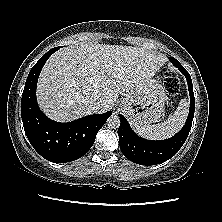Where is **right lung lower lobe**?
Segmentation results:
<instances>
[{"instance_id":"98d812e1","label":"right lung lower lobe","mask_w":222,"mask_h":222,"mask_svg":"<svg viewBox=\"0 0 222 222\" xmlns=\"http://www.w3.org/2000/svg\"><path fill=\"white\" fill-rule=\"evenodd\" d=\"M58 49H50L30 70L21 99V116L33 148L45 159L63 163L79 159L89 151L96 134L112 112L60 123L49 119L40 110L36 99L37 80L48 58Z\"/></svg>"}]
</instances>
